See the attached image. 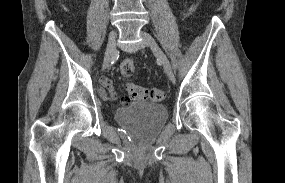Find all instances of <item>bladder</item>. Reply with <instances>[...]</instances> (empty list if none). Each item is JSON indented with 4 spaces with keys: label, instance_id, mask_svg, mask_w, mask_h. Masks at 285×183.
<instances>
[{
    "label": "bladder",
    "instance_id": "obj_1",
    "mask_svg": "<svg viewBox=\"0 0 285 183\" xmlns=\"http://www.w3.org/2000/svg\"><path fill=\"white\" fill-rule=\"evenodd\" d=\"M114 116L121 125L152 133L165 123L167 109L162 104L139 102L117 108Z\"/></svg>",
    "mask_w": 285,
    "mask_h": 183
}]
</instances>
